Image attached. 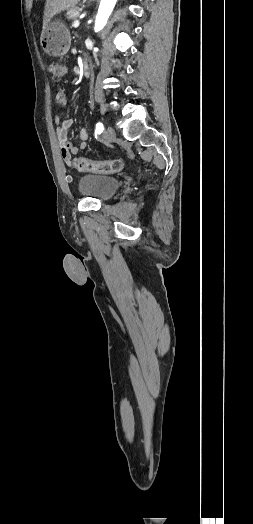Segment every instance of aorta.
I'll list each match as a JSON object with an SVG mask.
<instances>
[{
    "mask_svg": "<svg viewBox=\"0 0 253 524\" xmlns=\"http://www.w3.org/2000/svg\"><path fill=\"white\" fill-rule=\"evenodd\" d=\"M117 0H101L98 9V14L95 21V31L102 30L107 24L108 18L111 15Z\"/></svg>",
    "mask_w": 253,
    "mask_h": 524,
    "instance_id": "obj_1",
    "label": "aorta"
}]
</instances>
